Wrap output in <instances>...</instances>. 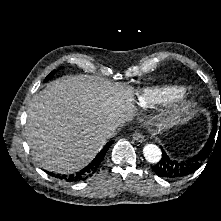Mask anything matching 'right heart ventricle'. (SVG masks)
<instances>
[{
  "label": "right heart ventricle",
  "mask_w": 221,
  "mask_h": 221,
  "mask_svg": "<svg viewBox=\"0 0 221 221\" xmlns=\"http://www.w3.org/2000/svg\"><path fill=\"white\" fill-rule=\"evenodd\" d=\"M182 87H153L143 89L136 98V104L143 110L150 109L162 101L177 99L184 95Z\"/></svg>",
  "instance_id": "1"
}]
</instances>
